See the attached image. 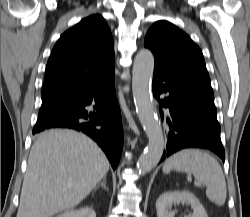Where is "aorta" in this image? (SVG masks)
I'll use <instances>...</instances> for the list:
<instances>
[{
  "instance_id": "762f6f07",
  "label": "aorta",
  "mask_w": 250,
  "mask_h": 217,
  "mask_svg": "<svg viewBox=\"0 0 250 217\" xmlns=\"http://www.w3.org/2000/svg\"><path fill=\"white\" fill-rule=\"evenodd\" d=\"M154 56L148 49L140 50L133 64L132 91L136 112L148 137V145L138 159L139 173L144 175L159 163L165 146L162 127L152 100L150 84L153 77Z\"/></svg>"
}]
</instances>
